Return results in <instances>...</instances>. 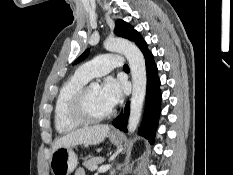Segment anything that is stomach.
Wrapping results in <instances>:
<instances>
[{
  "label": "stomach",
  "instance_id": "obj_1",
  "mask_svg": "<svg viewBox=\"0 0 233 175\" xmlns=\"http://www.w3.org/2000/svg\"><path fill=\"white\" fill-rule=\"evenodd\" d=\"M110 141L119 145L122 143L121 135H109ZM78 160L72 147H60L52 152L50 168L53 175H70L77 167Z\"/></svg>",
  "mask_w": 233,
  "mask_h": 175
}]
</instances>
